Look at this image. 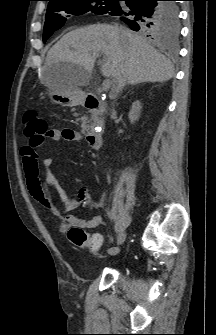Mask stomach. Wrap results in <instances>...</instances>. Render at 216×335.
Wrapping results in <instances>:
<instances>
[{
	"mask_svg": "<svg viewBox=\"0 0 216 335\" xmlns=\"http://www.w3.org/2000/svg\"><path fill=\"white\" fill-rule=\"evenodd\" d=\"M72 64H64L63 69L42 72V81L50 88L49 98L64 107H73L81 103L83 95L79 89L69 83L64 76V69L76 68Z\"/></svg>",
	"mask_w": 216,
	"mask_h": 335,
	"instance_id": "1",
	"label": "stomach"
}]
</instances>
